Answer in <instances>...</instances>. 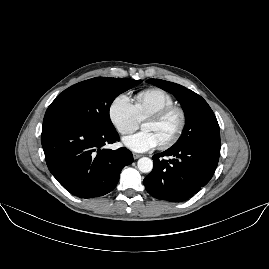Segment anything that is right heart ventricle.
Returning a JSON list of instances; mask_svg holds the SVG:
<instances>
[{
  "label": "right heart ventricle",
  "instance_id": "obj_1",
  "mask_svg": "<svg viewBox=\"0 0 269 269\" xmlns=\"http://www.w3.org/2000/svg\"><path fill=\"white\" fill-rule=\"evenodd\" d=\"M174 104V98L163 89L154 88L137 94L133 100V108L139 120L159 108Z\"/></svg>",
  "mask_w": 269,
  "mask_h": 269
}]
</instances>
